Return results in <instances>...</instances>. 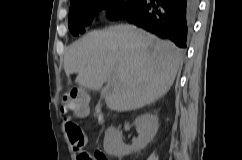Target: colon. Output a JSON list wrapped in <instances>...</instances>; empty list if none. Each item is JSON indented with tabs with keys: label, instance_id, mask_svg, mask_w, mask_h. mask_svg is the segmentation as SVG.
<instances>
[{
	"label": "colon",
	"instance_id": "colon-1",
	"mask_svg": "<svg viewBox=\"0 0 242 160\" xmlns=\"http://www.w3.org/2000/svg\"><path fill=\"white\" fill-rule=\"evenodd\" d=\"M61 108L66 113L85 112L88 109L87 96L79 90H70L63 95ZM65 130L72 140V143L81 148L85 142V135L82 128L75 122L67 119L65 121ZM81 160H108L101 152L89 154L84 152Z\"/></svg>",
	"mask_w": 242,
	"mask_h": 160
}]
</instances>
